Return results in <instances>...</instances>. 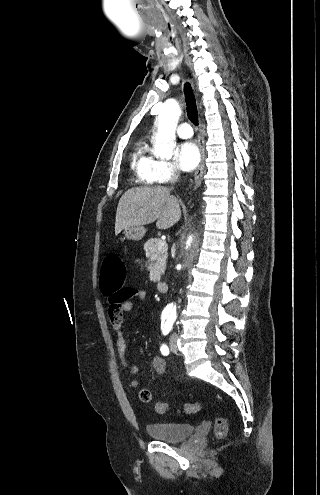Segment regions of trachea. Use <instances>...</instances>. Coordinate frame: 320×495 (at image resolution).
Instances as JSON below:
<instances>
[{
  "mask_svg": "<svg viewBox=\"0 0 320 495\" xmlns=\"http://www.w3.org/2000/svg\"><path fill=\"white\" fill-rule=\"evenodd\" d=\"M184 94H185L188 118L192 123L198 125L199 116H198L196 100L191 85L188 82H186L184 85Z\"/></svg>",
  "mask_w": 320,
  "mask_h": 495,
  "instance_id": "obj_1",
  "label": "trachea"
}]
</instances>
